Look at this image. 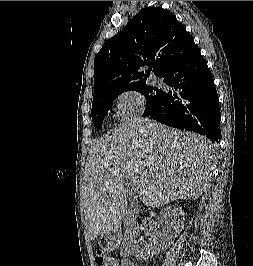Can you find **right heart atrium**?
<instances>
[{"mask_svg":"<svg viewBox=\"0 0 253 266\" xmlns=\"http://www.w3.org/2000/svg\"><path fill=\"white\" fill-rule=\"evenodd\" d=\"M116 105L120 119L128 120L143 112L145 99L139 90L127 89L117 96Z\"/></svg>","mask_w":253,"mask_h":266,"instance_id":"1","label":"right heart atrium"}]
</instances>
